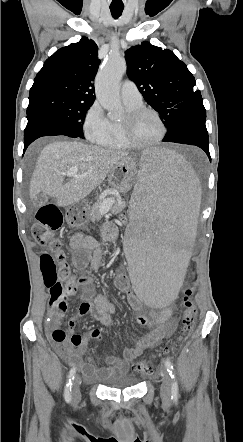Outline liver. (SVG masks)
I'll return each mask as SVG.
<instances>
[{
    "label": "liver",
    "instance_id": "obj_1",
    "mask_svg": "<svg viewBox=\"0 0 243 442\" xmlns=\"http://www.w3.org/2000/svg\"><path fill=\"white\" fill-rule=\"evenodd\" d=\"M128 153L105 149L79 141H55L41 151L30 182V198L39 193L56 198V205H73L102 184L118 162ZM71 167L78 168V177L64 182Z\"/></svg>",
    "mask_w": 243,
    "mask_h": 442
}]
</instances>
